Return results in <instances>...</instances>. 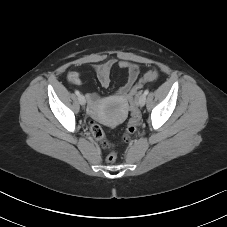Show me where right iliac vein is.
Returning <instances> with one entry per match:
<instances>
[{
    "instance_id": "1",
    "label": "right iliac vein",
    "mask_w": 227,
    "mask_h": 227,
    "mask_svg": "<svg viewBox=\"0 0 227 227\" xmlns=\"http://www.w3.org/2000/svg\"><path fill=\"white\" fill-rule=\"evenodd\" d=\"M78 101L81 105H85L86 104V99L83 95H79L78 96Z\"/></svg>"
}]
</instances>
